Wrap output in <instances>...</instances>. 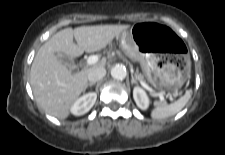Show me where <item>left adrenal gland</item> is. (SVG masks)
Masks as SVG:
<instances>
[{
  "instance_id": "1",
  "label": "left adrenal gland",
  "mask_w": 225,
  "mask_h": 155,
  "mask_svg": "<svg viewBox=\"0 0 225 155\" xmlns=\"http://www.w3.org/2000/svg\"><path fill=\"white\" fill-rule=\"evenodd\" d=\"M131 83H132V85L133 84H137L138 85L137 80L135 79V77L133 76V74H131Z\"/></svg>"
}]
</instances>
